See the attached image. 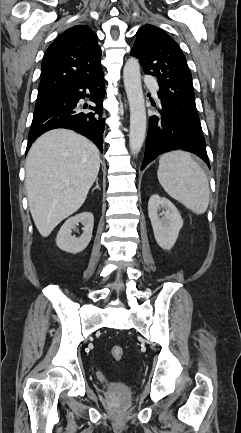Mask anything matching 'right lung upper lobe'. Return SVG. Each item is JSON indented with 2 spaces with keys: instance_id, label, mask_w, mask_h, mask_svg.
Returning <instances> with one entry per match:
<instances>
[{
  "instance_id": "1",
  "label": "right lung upper lobe",
  "mask_w": 241,
  "mask_h": 433,
  "mask_svg": "<svg viewBox=\"0 0 241 433\" xmlns=\"http://www.w3.org/2000/svg\"><path fill=\"white\" fill-rule=\"evenodd\" d=\"M97 35L86 25L67 29L48 47L41 66L38 96L103 73Z\"/></svg>"
}]
</instances>
